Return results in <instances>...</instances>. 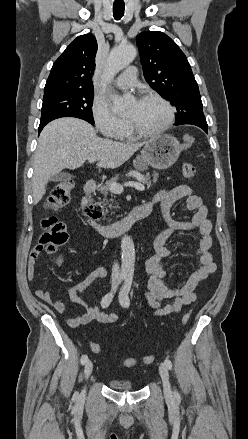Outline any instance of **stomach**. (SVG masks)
<instances>
[{
    "mask_svg": "<svg viewBox=\"0 0 248 439\" xmlns=\"http://www.w3.org/2000/svg\"><path fill=\"white\" fill-rule=\"evenodd\" d=\"M182 145L171 135L150 139L142 149V161L156 169H167L179 158Z\"/></svg>",
    "mask_w": 248,
    "mask_h": 439,
    "instance_id": "obj_1",
    "label": "stomach"
}]
</instances>
